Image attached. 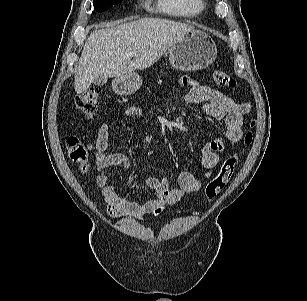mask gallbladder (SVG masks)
<instances>
[{
	"instance_id": "1",
	"label": "gallbladder",
	"mask_w": 307,
	"mask_h": 301,
	"mask_svg": "<svg viewBox=\"0 0 307 301\" xmlns=\"http://www.w3.org/2000/svg\"><path fill=\"white\" fill-rule=\"evenodd\" d=\"M106 82L107 77L104 75H99L94 79L93 84L96 86H103L104 84H106Z\"/></svg>"
}]
</instances>
